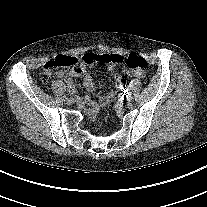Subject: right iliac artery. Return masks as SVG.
I'll use <instances>...</instances> for the list:
<instances>
[{"mask_svg":"<svg viewBox=\"0 0 207 207\" xmlns=\"http://www.w3.org/2000/svg\"><path fill=\"white\" fill-rule=\"evenodd\" d=\"M67 98H68V97H67L66 95H64V96H63V99H65V100H66Z\"/></svg>","mask_w":207,"mask_h":207,"instance_id":"obj_1","label":"right iliac artery"}]
</instances>
